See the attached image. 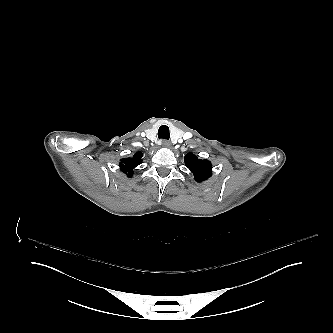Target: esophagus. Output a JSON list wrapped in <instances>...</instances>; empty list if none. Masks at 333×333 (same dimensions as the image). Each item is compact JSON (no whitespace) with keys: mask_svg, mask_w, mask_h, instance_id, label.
Masks as SVG:
<instances>
[{"mask_svg":"<svg viewBox=\"0 0 333 333\" xmlns=\"http://www.w3.org/2000/svg\"><path fill=\"white\" fill-rule=\"evenodd\" d=\"M163 147L170 148L171 147V143L169 141H164L163 142Z\"/></svg>","mask_w":333,"mask_h":333,"instance_id":"34e87169","label":"esophagus"}]
</instances>
